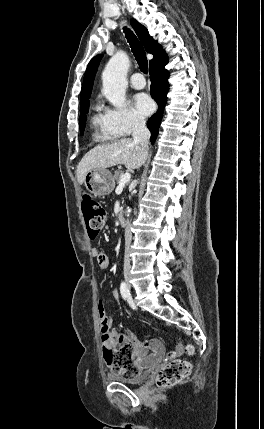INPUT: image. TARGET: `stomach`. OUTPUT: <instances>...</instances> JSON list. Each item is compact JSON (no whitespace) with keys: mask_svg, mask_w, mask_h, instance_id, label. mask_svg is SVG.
Returning <instances> with one entry per match:
<instances>
[{"mask_svg":"<svg viewBox=\"0 0 264 429\" xmlns=\"http://www.w3.org/2000/svg\"><path fill=\"white\" fill-rule=\"evenodd\" d=\"M85 187L95 197L110 194L115 187V180L107 169H93L85 176Z\"/></svg>","mask_w":264,"mask_h":429,"instance_id":"stomach-1","label":"stomach"}]
</instances>
